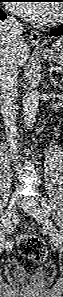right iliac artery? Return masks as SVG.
Segmentation results:
<instances>
[{"mask_svg":"<svg viewBox=\"0 0 63 297\" xmlns=\"http://www.w3.org/2000/svg\"><path fill=\"white\" fill-rule=\"evenodd\" d=\"M3 224H4V220H3ZM12 231H13V227H12V225L9 223L8 225H6V226L4 227L3 230H1L0 234H4V232H7V233L10 234Z\"/></svg>","mask_w":63,"mask_h":297,"instance_id":"1","label":"right iliac artery"}]
</instances>
